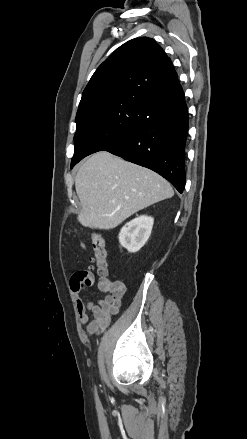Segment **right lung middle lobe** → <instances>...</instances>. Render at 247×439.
Returning a JSON list of instances; mask_svg holds the SVG:
<instances>
[{"mask_svg":"<svg viewBox=\"0 0 247 439\" xmlns=\"http://www.w3.org/2000/svg\"><path fill=\"white\" fill-rule=\"evenodd\" d=\"M151 110L129 100H113L76 115L75 152L71 167L84 157L119 143Z\"/></svg>","mask_w":247,"mask_h":439,"instance_id":"dd1d6c3e","label":"right lung middle lobe"}]
</instances>
